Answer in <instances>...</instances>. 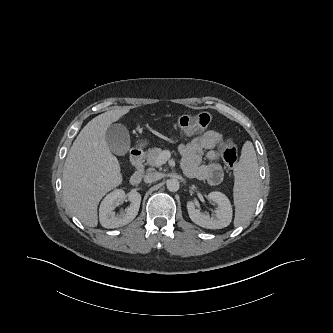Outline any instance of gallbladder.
<instances>
[{
    "instance_id": "bac80fb5",
    "label": "gallbladder",
    "mask_w": 333,
    "mask_h": 333,
    "mask_svg": "<svg viewBox=\"0 0 333 333\" xmlns=\"http://www.w3.org/2000/svg\"><path fill=\"white\" fill-rule=\"evenodd\" d=\"M105 139L109 149L115 155L124 156L130 149L129 132L122 124H111L105 132Z\"/></svg>"
}]
</instances>
